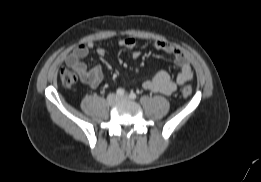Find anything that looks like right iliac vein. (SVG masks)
Returning <instances> with one entry per match:
<instances>
[{"label":"right iliac vein","mask_w":261,"mask_h":182,"mask_svg":"<svg viewBox=\"0 0 261 182\" xmlns=\"http://www.w3.org/2000/svg\"><path fill=\"white\" fill-rule=\"evenodd\" d=\"M118 101V97L115 94H109L107 97V102L110 105H113L114 103H116Z\"/></svg>","instance_id":"right-iliac-vein-1"}]
</instances>
